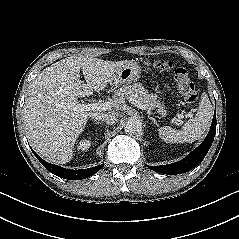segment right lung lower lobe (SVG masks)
Wrapping results in <instances>:
<instances>
[{"instance_id":"right-lung-lower-lobe-1","label":"right lung lower lobe","mask_w":239,"mask_h":239,"mask_svg":"<svg viewBox=\"0 0 239 239\" xmlns=\"http://www.w3.org/2000/svg\"><path fill=\"white\" fill-rule=\"evenodd\" d=\"M32 152L49 172L55 174L58 177L68 179V180H81V179L88 178L89 176H92L93 174L98 172L104 166V164H101L96 167H92L88 169L70 170V169H66L60 166L50 164L44 161L42 158H40L33 150Z\"/></svg>"}]
</instances>
